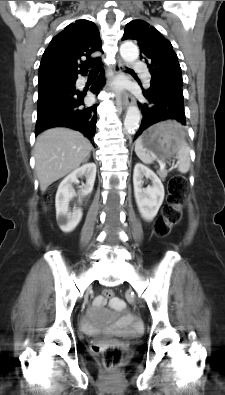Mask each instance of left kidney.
Segmentation results:
<instances>
[{"label":"left kidney","mask_w":225,"mask_h":395,"mask_svg":"<svg viewBox=\"0 0 225 395\" xmlns=\"http://www.w3.org/2000/svg\"><path fill=\"white\" fill-rule=\"evenodd\" d=\"M152 181V186L143 188V178ZM134 195L141 216L151 221L156 216L164 200V186L160 178L148 167L137 163L133 173Z\"/></svg>","instance_id":"left-kidney-1"}]
</instances>
